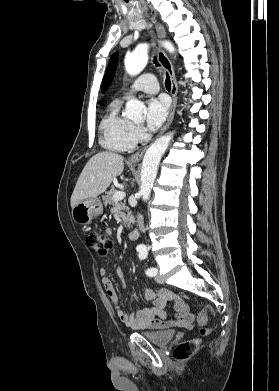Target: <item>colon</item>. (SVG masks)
I'll return each instance as SVG.
<instances>
[{
  "label": "colon",
  "mask_w": 279,
  "mask_h": 391,
  "mask_svg": "<svg viewBox=\"0 0 279 391\" xmlns=\"http://www.w3.org/2000/svg\"><path fill=\"white\" fill-rule=\"evenodd\" d=\"M86 241L93 251L101 257L107 256L113 247L112 240L107 235L101 233H89ZM209 313H213V310L210 306H206L203 312L197 317V322L201 326L200 332L202 335H206L209 332V329L206 327ZM199 344V339H191L180 343L174 350V357L181 361L189 359L196 352Z\"/></svg>",
  "instance_id": "5ec220e1"
}]
</instances>
